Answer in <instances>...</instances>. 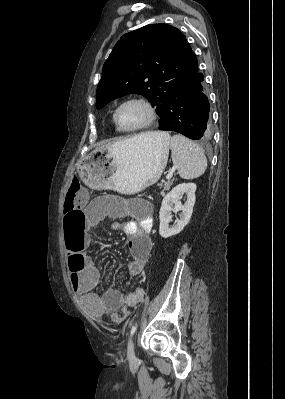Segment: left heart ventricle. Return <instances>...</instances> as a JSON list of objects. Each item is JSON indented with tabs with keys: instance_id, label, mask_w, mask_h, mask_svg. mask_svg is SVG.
<instances>
[{
	"instance_id": "b2bd125f",
	"label": "left heart ventricle",
	"mask_w": 285,
	"mask_h": 399,
	"mask_svg": "<svg viewBox=\"0 0 285 399\" xmlns=\"http://www.w3.org/2000/svg\"><path fill=\"white\" fill-rule=\"evenodd\" d=\"M148 111L140 103L125 105L119 112V123L124 128H131L144 123L148 119Z\"/></svg>"
}]
</instances>
